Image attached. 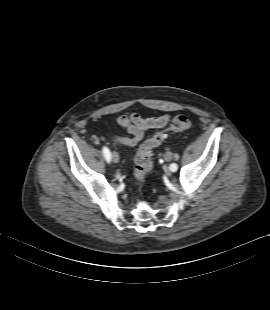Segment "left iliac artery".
<instances>
[{
	"label": "left iliac artery",
	"mask_w": 270,
	"mask_h": 310,
	"mask_svg": "<svg viewBox=\"0 0 270 310\" xmlns=\"http://www.w3.org/2000/svg\"><path fill=\"white\" fill-rule=\"evenodd\" d=\"M171 171L175 172L177 170V165L175 163L170 165Z\"/></svg>",
	"instance_id": "left-iliac-artery-1"
}]
</instances>
